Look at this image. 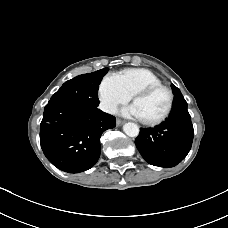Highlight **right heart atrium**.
Listing matches in <instances>:
<instances>
[{"instance_id":"1","label":"right heart atrium","mask_w":228,"mask_h":228,"mask_svg":"<svg viewBox=\"0 0 228 228\" xmlns=\"http://www.w3.org/2000/svg\"><path fill=\"white\" fill-rule=\"evenodd\" d=\"M98 98L100 108L106 113H113L119 105L127 103L131 96L117 74H107L99 83Z\"/></svg>"}]
</instances>
